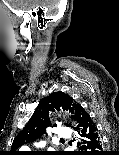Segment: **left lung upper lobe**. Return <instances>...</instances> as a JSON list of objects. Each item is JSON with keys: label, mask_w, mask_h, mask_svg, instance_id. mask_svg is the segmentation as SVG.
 <instances>
[{"label": "left lung upper lobe", "mask_w": 119, "mask_h": 155, "mask_svg": "<svg viewBox=\"0 0 119 155\" xmlns=\"http://www.w3.org/2000/svg\"><path fill=\"white\" fill-rule=\"evenodd\" d=\"M77 103L62 91L53 92L49 96L42 98L33 116L30 118L23 130L15 137L11 146L10 155H20L17 151L22 145L29 144L39 139L44 133L45 128L51 125L48 119L49 111L64 110L75 117ZM70 126V125H68ZM49 155H66L64 152H52Z\"/></svg>", "instance_id": "1"}]
</instances>
